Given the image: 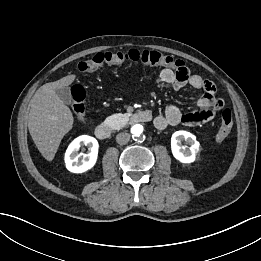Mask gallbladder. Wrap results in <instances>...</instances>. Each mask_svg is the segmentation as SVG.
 Segmentation results:
<instances>
[{"instance_id":"1","label":"gallbladder","mask_w":261,"mask_h":261,"mask_svg":"<svg viewBox=\"0 0 261 261\" xmlns=\"http://www.w3.org/2000/svg\"><path fill=\"white\" fill-rule=\"evenodd\" d=\"M56 94L63 103L65 104L72 103V95L68 87L56 89Z\"/></svg>"}]
</instances>
